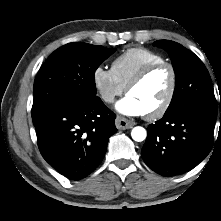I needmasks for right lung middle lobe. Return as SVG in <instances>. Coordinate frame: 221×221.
Returning a JSON list of instances; mask_svg holds the SVG:
<instances>
[{
  "instance_id": "1",
  "label": "right lung middle lobe",
  "mask_w": 221,
  "mask_h": 221,
  "mask_svg": "<svg viewBox=\"0 0 221 221\" xmlns=\"http://www.w3.org/2000/svg\"><path fill=\"white\" fill-rule=\"evenodd\" d=\"M114 51L82 42L69 43L54 51L34 82L33 121L60 101L95 99V71Z\"/></svg>"
}]
</instances>
